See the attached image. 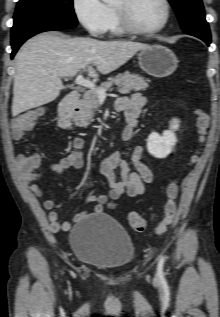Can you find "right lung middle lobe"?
Segmentation results:
<instances>
[{
	"label": "right lung middle lobe",
	"instance_id": "1",
	"mask_svg": "<svg viewBox=\"0 0 220 317\" xmlns=\"http://www.w3.org/2000/svg\"><path fill=\"white\" fill-rule=\"evenodd\" d=\"M44 20H60L77 25L73 0H20L14 14L12 33L27 24Z\"/></svg>",
	"mask_w": 220,
	"mask_h": 317
}]
</instances>
